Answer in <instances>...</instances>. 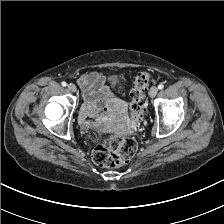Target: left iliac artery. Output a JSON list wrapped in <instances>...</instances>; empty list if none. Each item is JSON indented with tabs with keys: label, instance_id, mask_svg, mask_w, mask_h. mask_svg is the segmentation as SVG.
<instances>
[{
	"label": "left iliac artery",
	"instance_id": "1",
	"mask_svg": "<svg viewBox=\"0 0 224 224\" xmlns=\"http://www.w3.org/2000/svg\"><path fill=\"white\" fill-rule=\"evenodd\" d=\"M163 88H164V85H163V84H159V85H158V89L161 90V89H163Z\"/></svg>",
	"mask_w": 224,
	"mask_h": 224
}]
</instances>
